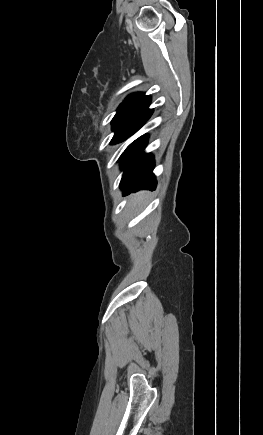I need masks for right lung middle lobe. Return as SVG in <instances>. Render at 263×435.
<instances>
[{
  "mask_svg": "<svg viewBox=\"0 0 263 435\" xmlns=\"http://www.w3.org/2000/svg\"><path fill=\"white\" fill-rule=\"evenodd\" d=\"M146 106H120L112 120V130L115 132L111 144L126 139L135 120Z\"/></svg>",
  "mask_w": 263,
  "mask_h": 435,
  "instance_id": "right-lung-middle-lobe-1",
  "label": "right lung middle lobe"
}]
</instances>
